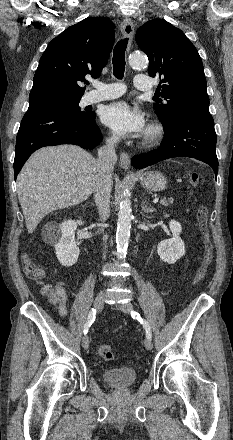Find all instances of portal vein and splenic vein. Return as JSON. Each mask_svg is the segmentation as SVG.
<instances>
[{
	"label": "portal vein and splenic vein",
	"mask_w": 233,
	"mask_h": 440,
	"mask_svg": "<svg viewBox=\"0 0 233 440\" xmlns=\"http://www.w3.org/2000/svg\"><path fill=\"white\" fill-rule=\"evenodd\" d=\"M158 201H159L158 198H156V199L153 200L154 203H157Z\"/></svg>",
	"instance_id": "obj_1"
}]
</instances>
